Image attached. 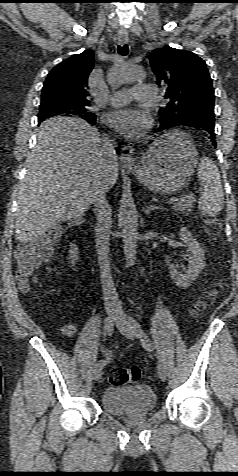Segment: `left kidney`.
<instances>
[{
  "instance_id": "5707ae66",
  "label": "left kidney",
  "mask_w": 238,
  "mask_h": 476,
  "mask_svg": "<svg viewBox=\"0 0 238 476\" xmlns=\"http://www.w3.org/2000/svg\"><path fill=\"white\" fill-rule=\"evenodd\" d=\"M180 240L188 246V269L185 273L177 271L175 265H170V274L177 286L187 288L199 276L205 266V254L200 244L193 238L191 232L182 227L179 232Z\"/></svg>"
}]
</instances>
